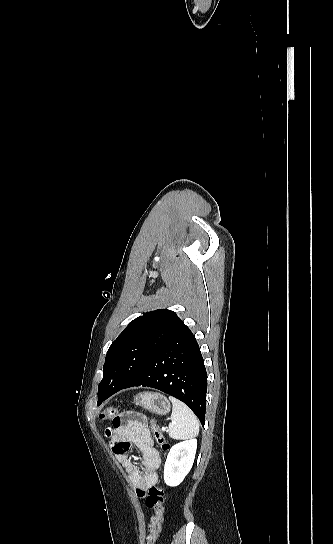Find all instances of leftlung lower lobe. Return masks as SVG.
I'll return each mask as SVG.
<instances>
[{
    "label": "left lung lower lobe",
    "instance_id": "0a47b994",
    "mask_svg": "<svg viewBox=\"0 0 333 544\" xmlns=\"http://www.w3.org/2000/svg\"><path fill=\"white\" fill-rule=\"evenodd\" d=\"M146 386L161 390L188 405L205 424L207 373L199 345L190 329L183 324L127 385L113 392L98 393L100 405L116 392Z\"/></svg>",
    "mask_w": 333,
    "mask_h": 544
}]
</instances>
